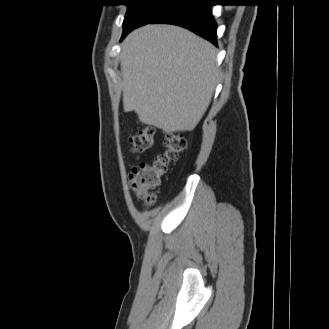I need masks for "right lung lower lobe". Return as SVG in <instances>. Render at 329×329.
<instances>
[{"instance_id": "obj_1", "label": "right lung lower lobe", "mask_w": 329, "mask_h": 329, "mask_svg": "<svg viewBox=\"0 0 329 329\" xmlns=\"http://www.w3.org/2000/svg\"><path fill=\"white\" fill-rule=\"evenodd\" d=\"M206 1L212 0H177L166 6L149 23L178 25L216 44L217 27L211 14V4Z\"/></svg>"}]
</instances>
